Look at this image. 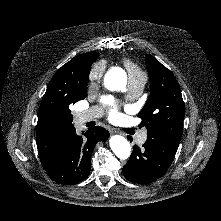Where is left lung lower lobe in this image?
Segmentation results:
<instances>
[{"mask_svg":"<svg viewBox=\"0 0 221 221\" xmlns=\"http://www.w3.org/2000/svg\"><path fill=\"white\" fill-rule=\"evenodd\" d=\"M179 142L171 138H156L147 139L141 149L134 145L130 159L123 167L124 177L138 184L157 180L171 165Z\"/></svg>","mask_w":221,"mask_h":221,"instance_id":"left-lung-lower-lobe-1","label":"left lung lower lobe"}]
</instances>
